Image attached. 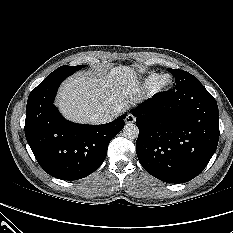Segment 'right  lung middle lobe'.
<instances>
[{"mask_svg": "<svg viewBox=\"0 0 233 233\" xmlns=\"http://www.w3.org/2000/svg\"><path fill=\"white\" fill-rule=\"evenodd\" d=\"M84 65H78V66H61L59 68H57L55 71H53L51 74H49L47 76V78L49 77H52L54 75H58V74H61V73H70V74H73L75 73V71H78L80 70L81 68H83Z\"/></svg>", "mask_w": 233, "mask_h": 233, "instance_id": "obj_1", "label": "right lung middle lobe"}]
</instances>
